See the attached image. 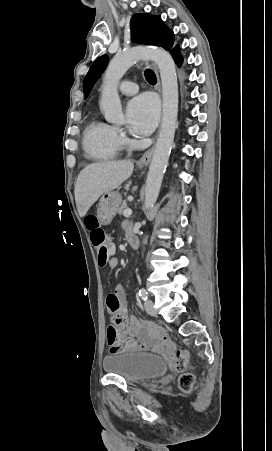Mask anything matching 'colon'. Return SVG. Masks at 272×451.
Returning <instances> with one entry per match:
<instances>
[{
    "label": "colon",
    "mask_w": 272,
    "mask_h": 451,
    "mask_svg": "<svg viewBox=\"0 0 272 451\" xmlns=\"http://www.w3.org/2000/svg\"><path fill=\"white\" fill-rule=\"evenodd\" d=\"M85 224L90 230V240L97 252V264L105 266L108 264L112 242L107 241L109 232L99 228V221L95 215L87 216ZM106 347L110 348L112 354H121L124 351H140V342H130L128 338L118 339L116 325H111L106 328ZM181 346L175 345L173 342H168L164 347V352L170 354V367H174L180 377L178 379V386L185 392L189 393L195 386L194 376L186 372L187 353H181Z\"/></svg>",
    "instance_id": "1"
}]
</instances>
